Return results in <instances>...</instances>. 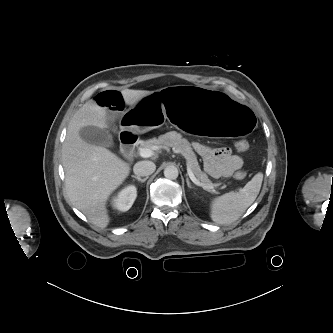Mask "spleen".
<instances>
[{"label": "spleen", "instance_id": "3e777b00", "mask_svg": "<svg viewBox=\"0 0 333 333\" xmlns=\"http://www.w3.org/2000/svg\"><path fill=\"white\" fill-rule=\"evenodd\" d=\"M263 181L261 172L239 191L215 197L210 202V217L217 224H231L239 219L257 198Z\"/></svg>", "mask_w": 333, "mask_h": 333}]
</instances>
